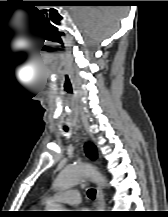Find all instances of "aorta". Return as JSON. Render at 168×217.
Here are the masks:
<instances>
[{
    "label": "aorta",
    "mask_w": 168,
    "mask_h": 217,
    "mask_svg": "<svg viewBox=\"0 0 168 217\" xmlns=\"http://www.w3.org/2000/svg\"><path fill=\"white\" fill-rule=\"evenodd\" d=\"M90 179L94 182L107 186L106 179L90 164L82 163L65 167L54 182V187L58 190L69 189L83 180ZM52 211H65L60 205H55Z\"/></svg>",
    "instance_id": "obj_1"
}]
</instances>
